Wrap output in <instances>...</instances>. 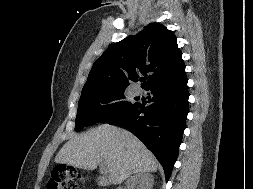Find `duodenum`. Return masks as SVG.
Listing matches in <instances>:
<instances>
[{
    "instance_id": "duodenum-1",
    "label": "duodenum",
    "mask_w": 253,
    "mask_h": 189,
    "mask_svg": "<svg viewBox=\"0 0 253 189\" xmlns=\"http://www.w3.org/2000/svg\"><path fill=\"white\" fill-rule=\"evenodd\" d=\"M99 182L101 183V184H104L105 183V181L103 180V179H99Z\"/></svg>"
}]
</instances>
